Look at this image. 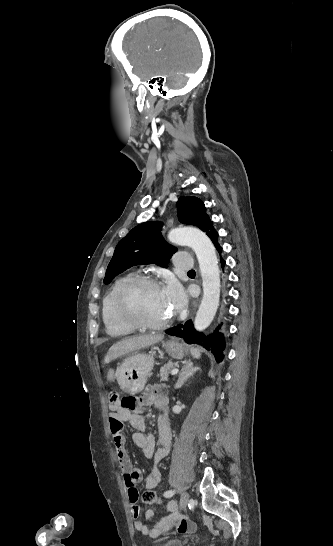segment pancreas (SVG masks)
Segmentation results:
<instances>
[{
	"label": "pancreas",
	"instance_id": "obj_1",
	"mask_svg": "<svg viewBox=\"0 0 333 546\" xmlns=\"http://www.w3.org/2000/svg\"><path fill=\"white\" fill-rule=\"evenodd\" d=\"M175 368V363L169 361L167 364H165L161 369L159 373L160 380L167 381L168 376L170 372Z\"/></svg>",
	"mask_w": 333,
	"mask_h": 546
}]
</instances>
